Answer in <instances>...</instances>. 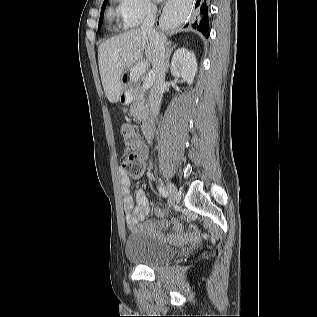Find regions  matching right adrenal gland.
Segmentation results:
<instances>
[{
  "mask_svg": "<svg viewBox=\"0 0 317 317\" xmlns=\"http://www.w3.org/2000/svg\"><path fill=\"white\" fill-rule=\"evenodd\" d=\"M177 45H172L171 43L167 44V47H166V62H167V70L168 71V68H169V59H170V56H171V53L173 51V49L176 48Z\"/></svg>",
  "mask_w": 317,
  "mask_h": 317,
  "instance_id": "right-adrenal-gland-1",
  "label": "right adrenal gland"
}]
</instances>
